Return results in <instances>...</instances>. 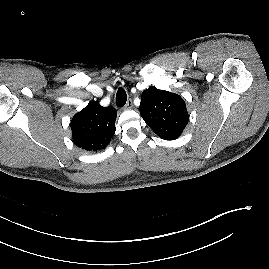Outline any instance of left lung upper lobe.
Here are the masks:
<instances>
[{
  "mask_svg": "<svg viewBox=\"0 0 269 269\" xmlns=\"http://www.w3.org/2000/svg\"><path fill=\"white\" fill-rule=\"evenodd\" d=\"M140 115L162 139H177L188 123L184 100L175 93L150 87L141 96Z\"/></svg>",
  "mask_w": 269,
  "mask_h": 269,
  "instance_id": "1",
  "label": "left lung upper lobe"
}]
</instances>
